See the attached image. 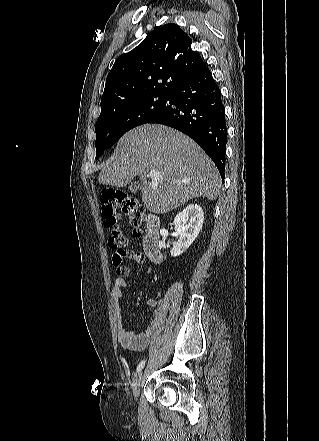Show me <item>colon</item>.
I'll use <instances>...</instances> for the list:
<instances>
[{
  "label": "colon",
  "mask_w": 319,
  "mask_h": 441,
  "mask_svg": "<svg viewBox=\"0 0 319 441\" xmlns=\"http://www.w3.org/2000/svg\"><path fill=\"white\" fill-rule=\"evenodd\" d=\"M118 210L129 218L135 235H140L145 219L143 209L133 197L118 190L110 189L103 192L101 196V218L104 227L110 232L108 244L113 250L112 260L116 265L120 264L127 255V237L118 224Z\"/></svg>",
  "instance_id": "1"
}]
</instances>
